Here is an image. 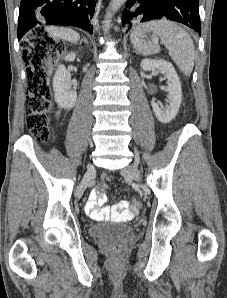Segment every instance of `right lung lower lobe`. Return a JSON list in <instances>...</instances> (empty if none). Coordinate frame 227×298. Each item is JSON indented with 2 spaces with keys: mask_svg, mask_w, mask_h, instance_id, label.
<instances>
[{
  "mask_svg": "<svg viewBox=\"0 0 227 298\" xmlns=\"http://www.w3.org/2000/svg\"><path fill=\"white\" fill-rule=\"evenodd\" d=\"M94 8L95 0H21L18 40L39 25H71L92 33Z\"/></svg>",
  "mask_w": 227,
  "mask_h": 298,
  "instance_id": "1",
  "label": "right lung lower lobe"
}]
</instances>
